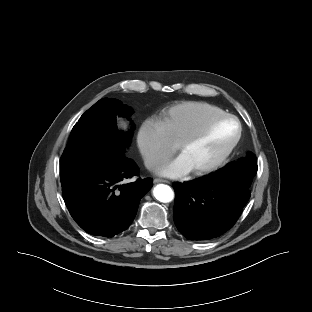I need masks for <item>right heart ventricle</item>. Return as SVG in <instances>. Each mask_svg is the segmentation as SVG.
I'll use <instances>...</instances> for the list:
<instances>
[{
    "mask_svg": "<svg viewBox=\"0 0 312 312\" xmlns=\"http://www.w3.org/2000/svg\"><path fill=\"white\" fill-rule=\"evenodd\" d=\"M226 112L213 104L188 101L176 104L166 109L161 115L171 141L179 143L184 137L193 133L209 119Z\"/></svg>",
    "mask_w": 312,
    "mask_h": 312,
    "instance_id": "right-heart-ventricle-1",
    "label": "right heart ventricle"
}]
</instances>
